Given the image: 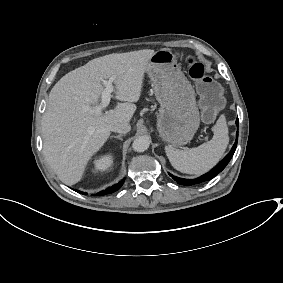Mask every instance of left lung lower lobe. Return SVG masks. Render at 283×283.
<instances>
[{
  "instance_id": "obj_1",
  "label": "left lung lower lobe",
  "mask_w": 283,
  "mask_h": 283,
  "mask_svg": "<svg viewBox=\"0 0 283 283\" xmlns=\"http://www.w3.org/2000/svg\"><path fill=\"white\" fill-rule=\"evenodd\" d=\"M236 124L238 126V119L236 120ZM237 141H238V132L236 133V141L235 144L233 145L231 151L226 155V157L219 162L218 165H216L212 170H210L208 173L195 178V179H183V178H179L176 177L172 174H169L178 184L181 185H185V186H191V185H195V184H199L208 180H211L212 178H214L217 174H219L225 167L226 165L229 163L230 159L232 158L235 150H236V146H237Z\"/></svg>"
}]
</instances>
